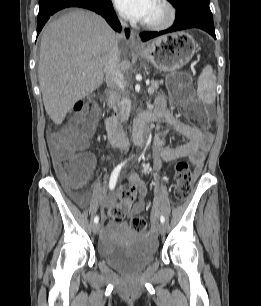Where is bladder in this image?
<instances>
[{
	"instance_id": "1",
	"label": "bladder",
	"mask_w": 261,
	"mask_h": 306,
	"mask_svg": "<svg viewBox=\"0 0 261 306\" xmlns=\"http://www.w3.org/2000/svg\"><path fill=\"white\" fill-rule=\"evenodd\" d=\"M156 252L157 244L151 239L124 243L121 237L102 242L98 250L103 262L126 274L145 269L155 260Z\"/></svg>"
}]
</instances>
